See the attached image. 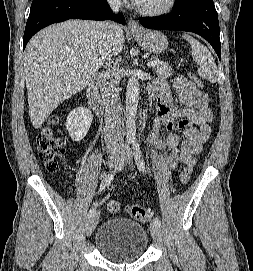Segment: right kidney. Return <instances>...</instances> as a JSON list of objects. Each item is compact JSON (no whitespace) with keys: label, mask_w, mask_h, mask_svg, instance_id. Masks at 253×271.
Instances as JSON below:
<instances>
[{"label":"right kidney","mask_w":253,"mask_h":271,"mask_svg":"<svg viewBox=\"0 0 253 271\" xmlns=\"http://www.w3.org/2000/svg\"><path fill=\"white\" fill-rule=\"evenodd\" d=\"M93 120L92 112L84 107H77L70 111L66 120V129L73 141L82 140Z\"/></svg>","instance_id":"1"}]
</instances>
